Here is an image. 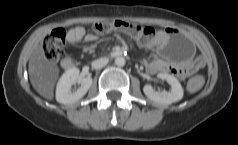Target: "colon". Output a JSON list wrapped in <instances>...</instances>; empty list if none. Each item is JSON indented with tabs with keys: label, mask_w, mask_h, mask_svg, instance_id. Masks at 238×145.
<instances>
[{
	"label": "colon",
	"mask_w": 238,
	"mask_h": 145,
	"mask_svg": "<svg viewBox=\"0 0 238 145\" xmlns=\"http://www.w3.org/2000/svg\"><path fill=\"white\" fill-rule=\"evenodd\" d=\"M111 32H123L133 37L140 45L150 48L154 45L160 32L150 26H142L136 23L115 20L111 22H100L93 26L95 35H105ZM67 41L66 31L62 28L52 30L43 40L44 57L51 62L59 60ZM204 83L202 76L197 75L189 80L188 88L191 91L199 90Z\"/></svg>",
	"instance_id": "colon-1"
}]
</instances>
